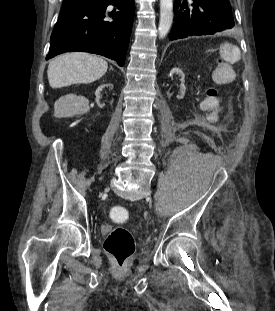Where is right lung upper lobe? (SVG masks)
I'll return each instance as SVG.
<instances>
[{
  "label": "right lung upper lobe",
  "instance_id": "obj_1",
  "mask_svg": "<svg viewBox=\"0 0 275 311\" xmlns=\"http://www.w3.org/2000/svg\"><path fill=\"white\" fill-rule=\"evenodd\" d=\"M76 1H79V0H64V3H66V2H67V3H69V2H70V3H73V2H76Z\"/></svg>",
  "mask_w": 275,
  "mask_h": 311
}]
</instances>
